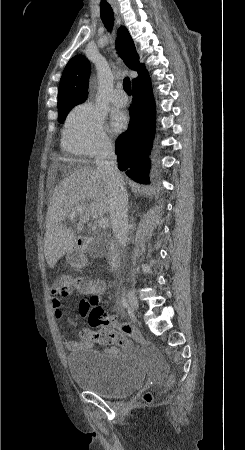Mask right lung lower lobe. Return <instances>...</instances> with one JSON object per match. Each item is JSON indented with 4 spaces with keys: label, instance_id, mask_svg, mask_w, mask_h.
<instances>
[{
    "label": "right lung lower lobe",
    "instance_id": "1",
    "mask_svg": "<svg viewBox=\"0 0 245 450\" xmlns=\"http://www.w3.org/2000/svg\"><path fill=\"white\" fill-rule=\"evenodd\" d=\"M131 123L116 141L118 168L134 181L149 183L150 159L155 132V102L151 79L146 72L133 82Z\"/></svg>",
    "mask_w": 245,
    "mask_h": 450
}]
</instances>
